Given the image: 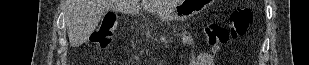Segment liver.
Segmentation results:
<instances>
[{
    "mask_svg": "<svg viewBox=\"0 0 309 65\" xmlns=\"http://www.w3.org/2000/svg\"><path fill=\"white\" fill-rule=\"evenodd\" d=\"M66 0L65 21L70 45L78 47L87 42L108 10L138 14L141 9L161 14L173 7L175 0Z\"/></svg>",
    "mask_w": 309,
    "mask_h": 65,
    "instance_id": "liver-1",
    "label": "liver"
}]
</instances>
